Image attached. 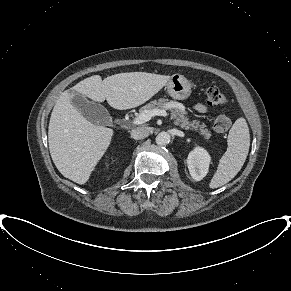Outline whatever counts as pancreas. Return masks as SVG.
<instances>
[{"mask_svg": "<svg viewBox=\"0 0 291 291\" xmlns=\"http://www.w3.org/2000/svg\"><path fill=\"white\" fill-rule=\"evenodd\" d=\"M154 109H161L167 110L169 109L172 113V117L175 119V124L178 125L182 129H194L199 130L200 135L204 136L206 139L210 138L211 133L206 128L205 124H200L199 121L193 120L189 121L187 117V112L183 109L182 105L178 104L175 101H169L168 99H158L157 101L154 100L145 106H143L139 113H143L146 110H154Z\"/></svg>", "mask_w": 291, "mask_h": 291, "instance_id": "cf45deb5", "label": "pancreas"}]
</instances>
